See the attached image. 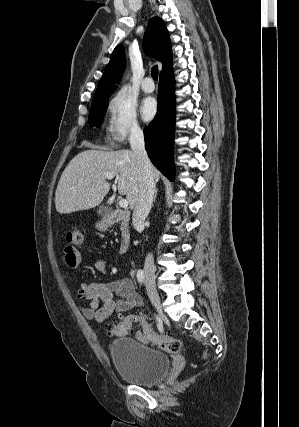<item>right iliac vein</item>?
<instances>
[{
	"label": "right iliac vein",
	"instance_id": "obj_1",
	"mask_svg": "<svg viewBox=\"0 0 299 427\" xmlns=\"http://www.w3.org/2000/svg\"><path fill=\"white\" fill-rule=\"evenodd\" d=\"M145 285L147 288L148 296L152 302V304L155 306V308L158 310V312L162 313V305L161 300L159 297V294L156 289L155 280L153 278L147 277L145 280Z\"/></svg>",
	"mask_w": 299,
	"mask_h": 427
}]
</instances>
